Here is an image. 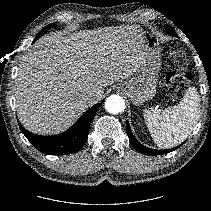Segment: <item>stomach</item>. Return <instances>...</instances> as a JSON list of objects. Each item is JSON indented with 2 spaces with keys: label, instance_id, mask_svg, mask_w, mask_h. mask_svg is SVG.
Returning <instances> with one entry per match:
<instances>
[{
  "label": "stomach",
  "instance_id": "0dacf381",
  "mask_svg": "<svg viewBox=\"0 0 211 211\" xmlns=\"http://www.w3.org/2000/svg\"><path fill=\"white\" fill-rule=\"evenodd\" d=\"M144 49L135 74L120 83L134 105H141L152 99L156 93L158 72L161 66L159 42L149 32H143Z\"/></svg>",
  "mask_w": 211,
  "mask_h": 211
}]
</instances>
